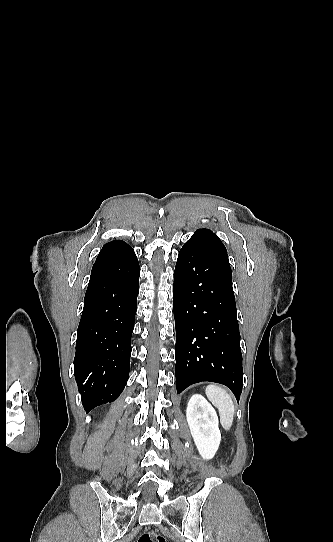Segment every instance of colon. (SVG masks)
I'll return each mask as SVG.
<instances>
[{"instance_id":"5ec220e1","label":"colon","mask_w":333,"mask_h":542,"mask_svg":"<svg viewBox=\"0 0 333 542\" xmlns=\"http://www.w3.org/2000/svg\"><path fill=\"white\" fill-rule=\"evenodd\" d=\"M137 542H166V539L154 531H145L139 535Z\"/></svg>"}]
</instances>
